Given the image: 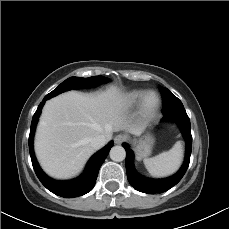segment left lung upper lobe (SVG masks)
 Returning a JSON list of instances; mask_svg holds the SVG:
<instances>
[{
	"label": "left lung upper lobe",
	"mask_w": 229,
	"mask_h": 229,
	"mask_svg": "<svg viewBox=\"0 0 229 229\" xmlns=\"http://www.w3.org/2000/svg\"><path fill=\"white\" fill-rule=\"evenodd\" d=\"M163 115H168L178 111H185L181 101L167 88H162Z\"/></svg>",
	"instance_id": "1"
}]
</instances>
